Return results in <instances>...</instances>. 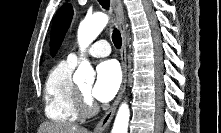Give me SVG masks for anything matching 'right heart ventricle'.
<instances>
[{"label": "right heart ventricle", "mask_w": 221, "mask_h": 133, "mask_svg": "<svg viewBox=\"0 0 221 133\" xmlns=\"http://www.w3.org/2000/svg\"><path fill=\"white\" fill-rule=\"evenodd\" d=\"M75 65L69 60L59 62L49 72L45 82V115L58 124L72 125L80 118L75 103L77 86L72 78Z\"/></svg>", "instance_id": "1"}]
</instances>
